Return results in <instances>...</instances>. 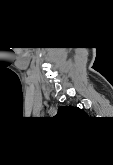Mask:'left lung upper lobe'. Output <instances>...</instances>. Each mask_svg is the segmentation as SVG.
<instances>
[{
  "instance_id": "obj_1",
  "label": "left lung upper lobe",
  "mask_w": 113,
  "mask_h": 165,
  "mask_svg": "<svg viewBox=\"0 0 113 165\" xmlns=\"http://www.w3.org/2000/svg\"><path fill=\"white\" fill-rule=\"evenodd\" d=\"M67 114L72 116H83L85 112L78 107L65 106L58 109V114Z\"/></svg>"
}]
</instances>
